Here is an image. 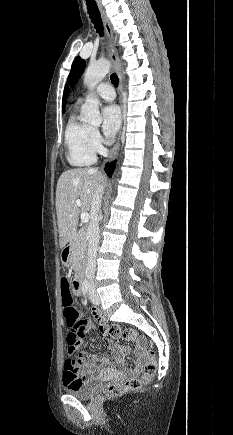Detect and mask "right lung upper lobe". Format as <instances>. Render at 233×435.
Here are the masks:
<instances>
[{
  "label": "right lung upper lobe",
  "mask_w": 233,
  "mask_h": 435,
  "mask_svg": "<svg viewBox=\"0 0 233 435\" xmlns=\"http://www.w3.org/2000/svg\"><path fill=\"white\" fill-rule=\"evenodd\" d=\"M65 91H66V87H65ZM65 94H66V92H65ZM62 111H63V113L65 111L64 104H63V107H62Z\"/></svg>",
  "instance_id": "obj_1"
}]
</instances>
